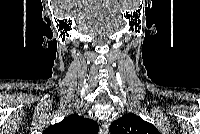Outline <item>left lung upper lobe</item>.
Here are the masks:
<instances>
[{
  "label": "left lung upper lobe",
  "mask_w": 200,
  "mask_h": 134,
  "mask_svg": "<svg viewBox=\"0 0 200 134\" xmlns=\"http://www.w3.org/2000/svg\"><path fill=\"white\" fill-rule=\"evenodd\" d=\"M112 134H159L157 128L140 117L130 113L111 124Z\"/></svg>",
  "instance_id": "5c2ea615"
}]
</instances>
